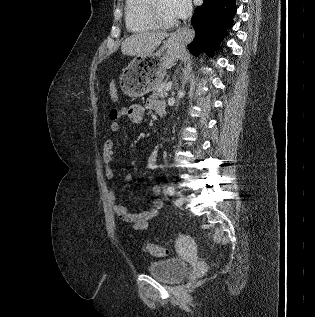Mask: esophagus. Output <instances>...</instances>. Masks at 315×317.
<instances>
[{
    "label": "esophagus",
    "instance_id": "34e87169",
    "mask_svg": "<svg viewBox=\"0 0 315 317\" xmlns=\"http://www.w3.org/2000/svg\"><path fill=\"white\" fill-rule=\"evenodd\" d=\"M194 36V32L193 30L188 27H182L181 29H178L175 33H174V37L180 41H182L183 43H188L193 39Z\"/></svg>",
    "mask_w": 315,
    "mask_h": 317
}]
</instances>
